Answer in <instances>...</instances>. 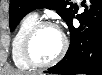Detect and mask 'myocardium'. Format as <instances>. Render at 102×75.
Returning a JSON list of instances; mask_svg holds the SVG:
<instances>
[{
    "instance_id": "1",
    "label": "myocardium",
    "mask_w": 102,
    "mask_h": 75,
    "mask_svg": "<svg viewBox=\"0 0 102 75\" xmlns=\"http://www.w3.org/2000/svg\"><path fill=\"white\" fill-rule=\"evenodd\" d=\"M47 26H51V27H54L59 30V32L62 36V47H61V50L59 51V53L56 55V57H54L52 60H50L48 62H42V61L38 60L32 53V42H33L34 38L36 37V35L44 27H47ZM67 48H68V42H67V38H66L65 34L61 31L59 26L53 20H50V19L38 20L32 26L30 31L27 33V35L23 41L24 56H25L26 60L29 62V64L31 66H35V67L43 68V67H49V66L56 64L63 58V56L65 55V53L67 51Z\"/></svg>"
}]
</instances>
